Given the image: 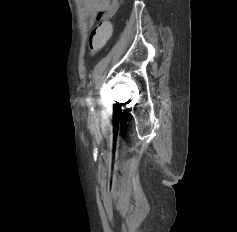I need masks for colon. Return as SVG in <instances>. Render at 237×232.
I'll use <instances>...</instances> for the list:
<instances>
[{"instance_id":"5ec220e1","label":"colon","mask_w":237,"mask_h":232,"mask_svg":"<svg viewBox=\"0 0 237 232\" xmlns=\"http://www.w3.org/2000/svg\"><path fill=\"white\" fill-rule=\"evenodd\" d=\"M112 32V24L108 18L93 28L88 40L91 54H96L106 45L112 36Z\"/></svg>"}]
</instances>
